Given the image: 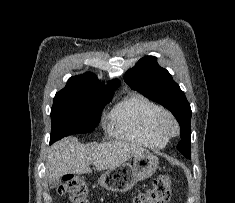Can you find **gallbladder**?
<instances>
[{
  "instance_id": "1",
  "label": "gallbladder",
  "mask_w": 235,
  "mask_h": 203,
  "mask_svg": "<svg viewBox=\"0 0 235 203\" xmlns=\"http://www.w3.org/2000/svg\"><path fill=\"white\" fill-rule=\"evenodd\" d=\"M59 184H60L59 179H55V180L50 182L51 188L57 187Z\"/></svg>"
}]
</instances>
